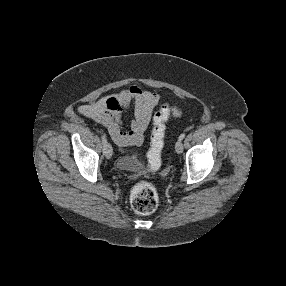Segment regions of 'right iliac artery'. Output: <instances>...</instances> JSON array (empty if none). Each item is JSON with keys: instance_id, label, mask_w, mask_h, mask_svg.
<instances>
[{"instance_id": "obj_1", "label": "right iliac artery", "mask_w": 286, "mask_h": 286, "mask_svg": "<svg viewBox=\"0 0 286 286\" xmlns=\"http://www.w3.org/2000/svg\"><path fill=\"white\" fill-rule=\"evenodd\" d=\"M101 139H102V143H103V153L105 154V150H106V147H107V138H106V135L105 134H101Z\"/></svg>"}]
</instances>
